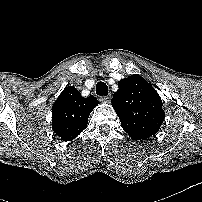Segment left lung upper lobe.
<instances>
[{"instance_id":"1","label":"left lung upper lobe","mask_w":202,"mask_h":202,"mask_svg":"<svg viewBox=\"0 0 202 202\" xmlns=\"http://www.w3.org/2000/svg\"><path fill=\"white\" fill-rule=\"evenodd\" d=\"M111 103L123 129L133 140L155 135L165 117L159 94L137 74L119 81Z\"/></svg>"}]
</instances>
